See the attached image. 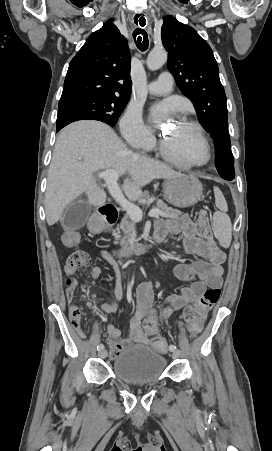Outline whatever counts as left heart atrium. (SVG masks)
I'll list each match as a JSON object with an SVG mask.
<instances>
[{"mask_svg": "<svg viewBox=\"0 0 272 451\" xmlns=\"http://www.w3.org/2000/svg\"><path fill=\"white\" fill-rule=\"evenodd\" d=\"M172 110H174V107L172 104H170L168 102H163L153 108L151 119H152V121L156 122L164 112H168V111H172Z\"/></svg>", "mask_w": 272, "mask_h": 451, "instance_id": "obj_1", "label": "left heart atrium"}]
</instances>
